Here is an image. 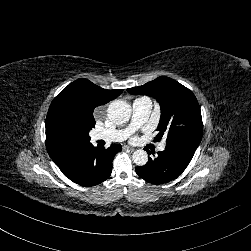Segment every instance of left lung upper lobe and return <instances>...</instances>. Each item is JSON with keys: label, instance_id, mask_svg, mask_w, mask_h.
Returning <instances> with one entry per match:
<instances>
[{"label": "left lung upper lobe", "instance_id": "1", "mask_svg": "<svg viewBox=\"0 0 251 251\" xmlns=\"http://www.w3.org/2000/svg\"><path fill=\"white\" fill-rule=\"evenodd\" d=\"M127 91L133 95L154 97L160 103L161 118L155 141L165 135L167 145L183 143L198 147L203 124L198 101L191 90L169 77L161 76Z\"/></svg>", "mask_w": 251, "mask_h": 251}]
</instances>
